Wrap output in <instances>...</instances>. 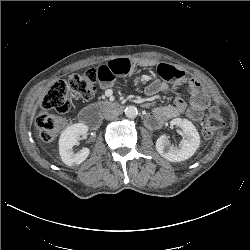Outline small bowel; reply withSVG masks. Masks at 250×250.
<instances>
[{
    "mask_svg": "<svg viewBox=\"0 0 250 250\" xmlns=\"http://www.w3.org/2000/svg\"><path fill=\"white\" fill-rule=\"evenodd\" d=\"M135 66L133 61L124 58L109 61L98 68V81L103 88H109L116 77L130 74ZM157 71L163 80L157 79L151 82L145 87L144 93L147 96H154L158 92H169L172 84H185L189 103L177 96L170 105L152 108L146 117L148 125L160 127L183 114L192 120H200L209 101L199 82L186 72L167 64H159Z\"/></svg>",
    "mask_w": 250,
    "mask_h": 250,
    "instance_id": "1",
    "label": "small bowel"
}]
</instances>
